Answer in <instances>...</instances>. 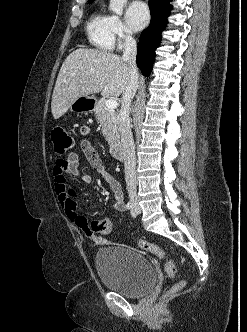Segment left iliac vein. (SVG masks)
<instances>
[{
  "label": "left iliac vein",
  "instance_id": "obj_1",
  "mask_svg": "<svg viewBox=\"0 0 247 332\" xmlns=\"http://www.w3.org/2000/svg\"><path fill=\"white\" fill-rule=\"evenodd\" d=\"M133 211L135 213H139L140 212V208L137 206V204H135Z\"/></svg>",
  "mask_w": 247,
  "mask_h": 332
}]
</instances>
